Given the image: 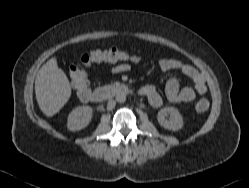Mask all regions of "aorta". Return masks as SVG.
<instances>
[{
  "mask_svg": "<svg viewBox=\"0 0 249 188\" xmlns=\"http://www.w3.org/2000/svg\"><path fill=\"white\" fill-rule=\"evenodd\" d=\"M116 101L119 103H124L126 101V94L121 92L116 95Z\"/></svg>",
  "mask_w": 249,
  "mask_h": 188,
  "instance_id": "obj_1",
  "label": "aorta"
}]
</instances>
